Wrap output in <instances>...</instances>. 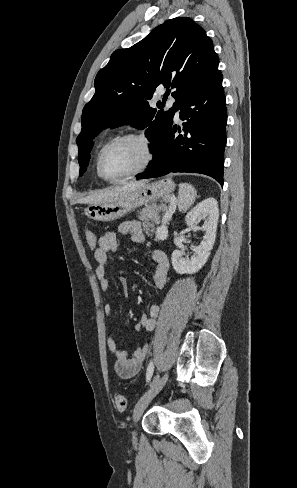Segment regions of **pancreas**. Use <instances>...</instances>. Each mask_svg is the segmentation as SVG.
<instances>
[{"instance_id": "1", "label": "pancreas", "mask_w": 297, "mask_h": 488, "mask_svg": "<svg viewBox=\"0 0 297 488\" xmlns=\"http://www.w3.org/2000/svg\"><path fill=\"white\" fill-rule=\"evenodd\" d=\"M138 218L139 220L144 221V227L147 228L153 226V224L158 222L160 218L157 206L155 205L146 206L138 214ZM153 231H155V229H153Z\"/></svg>"}]
</instances>
